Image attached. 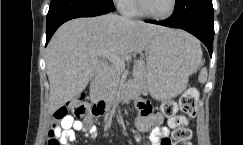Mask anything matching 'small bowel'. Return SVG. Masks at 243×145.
I'll list each match as a JSON object with an SVG mask.
<instances>
[{
  "label": "small bowel",
  "instance_id": "small-bowel-1",
  "mask_svg": "<svg viewBox=\"0 0 243 145\" xmlns=\"http://www.w3.org/2000/svg\"><path fill=\"white\" fill-rule=\"evenodd\" d=\"M137 108L139 115L136 119V126L142 133H149V141L151 145H170L169 128L163 126V116L160 113H155L149 103L138 101ZM54 131L60 139L61 145H70L76 139L75 131H83L90 135L91 138L98 136V130L93 125V120L90 116L83 121L75 120L72 116L64 118L56 127ZM134 139L138 141L140 136L134 135Z\"/></svg>",
  "mask_w": 243,
  "mask_h": 145
}]
</instances>
